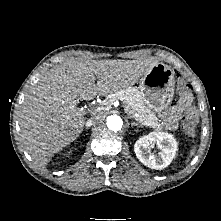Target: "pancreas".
<instances>
[{"label": "pancreas", "mask_w": 221, "mask_h": 221, "mask_svg": "<svg viewBox=\"0 0 221 221\" xmlns=\"http://www.w3.org/2000/svg\"><path fill=\"white\" fill-rule=\"evenodd\" d=\"M115 100H121L125 110L141 125L155 130L163 129L158 118L142 103L138 89L129 87L108 95L101 103V108L108 107Z\"/></svg>", "instance_id": "obj_1"}]
</instances>
